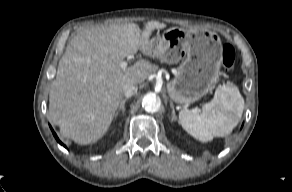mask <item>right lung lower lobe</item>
Masks as SVG:
<instances>
[{
    "label": "right lung lower lobe",
    "mask_w": 292,
    "mask_h": 192,
    "mask_svg": "<svg viewBox=\"0 0 292 192\" xmlns=\"http://www.w3.org/2000/svg\"><path fill=\"white\" fill-rule=\"evenodd\" d=\"M50 128H51V126H50ZM51 130H52V133H53V135H54V137L56 138V140L61 144V145H63L64 147H66L59 139H58V137H57V135L55 134V132L53 131V129L51 128Z\"/></svg>",
    "instance_id": "obj_1"
}]
</instances>
